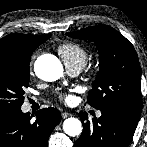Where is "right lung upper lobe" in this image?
Here are the masks:
<instances>
[{
	"label": "right lung upper lobe",
	"instance_id": "right-lung-upper-lobe-1",
	"mask_svg": "<svg viewBox=\"0 0 147 147\" xmlns=\"http://www.w3.org/2000/svg\"><path fill=\"white\" fill-rule=\"evenodd\" d=\"M51 35L37 36L29 34H10L0 39V53L19 55L32 54V52Z\"/></svg>",
	"mask_w": 147,
	"mask_h": 147
}]
</instances>
